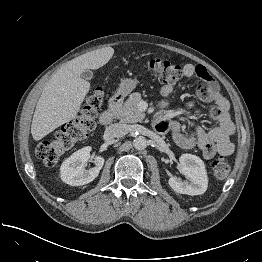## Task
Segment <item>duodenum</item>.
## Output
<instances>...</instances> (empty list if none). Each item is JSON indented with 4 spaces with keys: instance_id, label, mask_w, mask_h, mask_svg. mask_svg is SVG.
<instances>
[{
    "instance_id": "410a0bca",
    "label": "duodenum",
    "mask_w": 262,
    "mask_h": 262,
    "mask_svg": "<svg viewBox=\"0 0 262 262\" xmlns=\"http://www.w3.org/2000/svg\"><path fill=\"white\" fill-rule=\"evenodd\" d=\"M123 101V97L119 94L114 95L108 104V108L101 114L100 123L102 125H109L116 117L120 105Z\"/></svg>"
}]
</instances>
